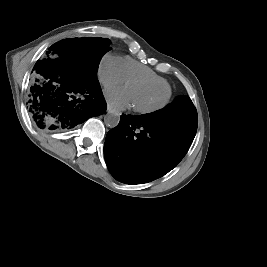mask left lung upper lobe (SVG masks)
I'll return each mask as SVG.
<instances>
[{
    "label": "left lung upper lobe",
    "mask_w": 267,
    "mask_h": 267,
    "mask_svg": "<svg viewBox=\"0 0 267 267\" xmlns=\"http://www.w3.org/2000/svg\"><path fill=\"white\" fill-rule=\"evenodd\" d=\"M145 115L151 117L180 118L196 123L198 122L196 108L194 107L191 99L187 96H177L171 104L167 105L163 109Z\"/></svg>",
    "instance_id": "1"
}]
</instances>
